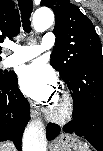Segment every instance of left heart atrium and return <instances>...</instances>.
I'll return each mask as SVG.
<instances>
[{
	"label": "left heart atrium",
	"mask_w": 103,
	"mask_h": 151,
	"mask_svg": "<svg viewBox=\"0 0 103 151\" xmlns=\"http://www.w3.org/2000/svg\"><path fill=\"white\" fill-rule=\"evenodd\" d=\"M19 86L26 96L40 103L52 102L56 96V77L53 71L39 60L21 69Z\"/></svg>",
	"instance_id": "left-heart-atrium-1"
}]
</instances>
